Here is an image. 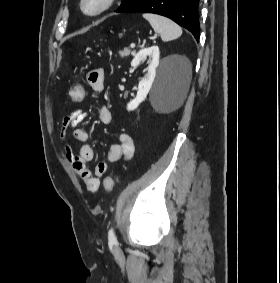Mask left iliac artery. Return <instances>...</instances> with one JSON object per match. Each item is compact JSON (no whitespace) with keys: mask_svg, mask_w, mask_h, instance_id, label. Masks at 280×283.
I'll return each instance as SVG.
<instances>
[{"mask_svg":"<svg viewBox=\"0 0 280 283\" xmlns=\"http://www.w3.org/2000/svg\"><path fill=\"white\" fill-rule=\"evenodd\" d=\"M108 240L111 244H114L117 242L113 228H110L108 231Z\"/></svg>","mask_w":280,"mask_h":283,"instance_id":"1","label":"left iliac artery"}]
</instances>
